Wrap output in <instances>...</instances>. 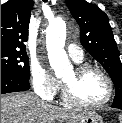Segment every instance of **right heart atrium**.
Wrapping results in <instances>:
<instances>
[{
    "label": "right heart atrium",
    "instance_id": "right-heart-atrium-1",
    "mask_svg": "<svg viewBox=\"0 0 122 123\" xmlns=\"http://www.w3.org/2000/svg\"><path fill=\"white\" fill-rule=\"evenodd\" d=\"M30 73L32 86L38 96L50 100L58 93L60 82L43 64L32 62Z\"/></svg>",
    "mask_w": 122,
    "mask_h": 123
}]
</instances>
